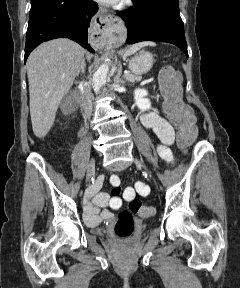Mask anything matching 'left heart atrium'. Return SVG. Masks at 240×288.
Masks as SVG:
<instances>
[{
	"label": "left heart atrium",
	"instance_id": "39dd6f15",
	"mask_svg": "<svg viewBox=\"0 0 240 288\" xmlns=\"http://www.w3.org/2000/svg\"><path fill=\"white\" fill-rule=\"evenodd\" d=\"M98 1H101L103 3L113 4V3H115V2H117L119 0H98Z\"/></svg>",
	"mask_w": 240,
	"mask_h": 288
}]
</instances>
